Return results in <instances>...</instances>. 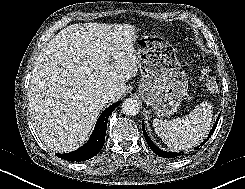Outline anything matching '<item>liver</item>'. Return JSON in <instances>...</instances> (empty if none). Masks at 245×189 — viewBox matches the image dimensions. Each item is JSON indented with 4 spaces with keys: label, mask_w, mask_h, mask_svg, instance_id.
Listing matches in <instances>:
<instances>
[{
    "label": "liver",
    "mask_w": 245,
    "mask_h": 189,
    "mask_svg": "<svg viewBox=\"0 0 245 189\" xmlns=\"http://www.w3.org/2000/svg\"><path fill=\"white\" fill-rule=\"evenodd\" d=\"M130 24L79 23L47 43L34 62L28 98L34 126L47 147L75 150L91 131L108 100L120 99L136 76L138 61Z\"/></svg>",
    "instance_id": "obj_1"
}]
</instances>
